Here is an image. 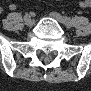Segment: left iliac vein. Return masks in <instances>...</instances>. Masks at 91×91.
<instances>
[{
    "instance_id": "4c4485c4",
    "label": "left iliac vein",
    "mask_w": 91,
    "mask_h": 91,
    "mask_svg": "<svg viewBox=\"0 0 91 91\" xmlns=\"http://www.w3.org/2000/svg\"><path fill=\"white\" fill-rule=\"evenodd\" d=\"M50 16H51L53 19H55L56 21H58L59 23L67 25L66 22H65V19H64L63 16H61L59 13L51 12V13H50ZM67 26H70V25H67Z\"/></svg>"
}]
</instances>
